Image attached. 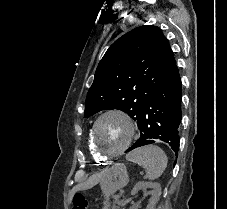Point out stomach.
<instances>
[{
  "label": "stomach",
  "instance_id": "stomach-1",
  "mask_svg": "<svg viewBox=\"0 0 227 209\" xmlns=\"http://www.w3.org/2000/svg\"><path fill=\"white\" fill-rule=\"evenodd\" d=\"M129 177L125 165L115 164L111 168L104 171L100 186L104 194V209L110 207L109 197L117 190L125 187L128 184Z\"/></svg>",
  "mask_w": 227,
  "mask_h": 209
}]
</instances>
